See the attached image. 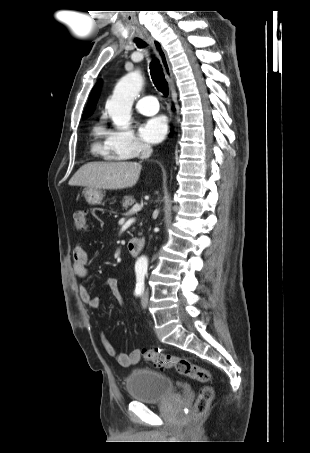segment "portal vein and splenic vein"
Returning a JSON list of instances; mask_svg holds the SVG:
<instances>
[{
    "mask_svg": "<svg viewBox=\"0 0 310 453\" xmlns=\"http://www.w3.org/2000/svg\"><path fill=\"white\" fill-rule=\"evenodd\" d=\"M143 205L135 204L129 211V214L136 213L142 209Z\"/></svg>",
    "mask_w": 310,
    "mask_h": 453,
    "instance_id": "obj_1",
    "label": "portal vein and splenic vein"
}]
</instances>
